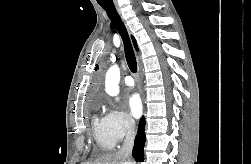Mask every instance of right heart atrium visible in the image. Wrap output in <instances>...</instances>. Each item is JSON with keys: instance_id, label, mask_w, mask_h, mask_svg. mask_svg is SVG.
I'll return each mask as SVG.
<instances>
[{"instance_id": "d8ad5b80", "label": "right heart atrium", "mask_w": 251, "mask_h": 164, "mask_svg": "<svg viewBox=\"0 0 251 164\" xmlns=\"http://www.w3.org/2000/svg\"><path fill=\"white\" fill-rule=\"evenodd\" d=\"M107 129L115 142L129 137L134 131V121L124 111L110 108L104 116Z\"/></svg>"}]
</instances>
